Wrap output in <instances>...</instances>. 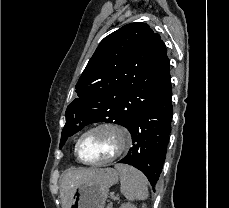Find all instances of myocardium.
<instances>
[{
    "mask_svg": "<svg viewBox=\"0 0 229 208\" xmlns=\"http://www.w3.org/2000/svg\"><path fill=\"white\" fill-rule=\"evenodd\" d=\"M101 128H110L114 130H98ZM91 133V138L93 139L94 135H110L109 137L113 139L115 147H121L120 150L107 158H103L102 160H87L83 157V149L81 148V142L84 136L88 133ZM132 144V138L129 131L122 125L114 123V122H101L98 124L93 125L92 127L85 130L77 139L75 144V154L77 159L84 163V164H91V165H98L109 163L115 161L116 159L120 158Z\"/></svg>",
    "mask_w": 229,
    "mask_h": 208,
    "instance_id": "myocardium-1",
    "label": "myocardium"
}]
</instances>
